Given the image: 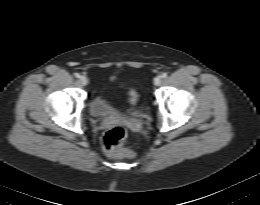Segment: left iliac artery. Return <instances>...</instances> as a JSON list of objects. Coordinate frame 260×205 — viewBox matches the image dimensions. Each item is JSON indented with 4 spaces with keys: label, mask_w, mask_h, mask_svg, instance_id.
<instances>
[{
    "label": "left iliac artery",
    "mask_w": 260,
    "mask_h": 205,
    "mask_svg": "<svg viewBox=\"0 0 260 205\" xmlns=\"http://www.w3.org/2000/svg\"><path fill=\"white\" fill-rule=\"evenodd\" d=\"M166 77H167V73H163L162 78H166Z\"/></svg>",
    "instance_id": "obj_1"
}]
</instances>
